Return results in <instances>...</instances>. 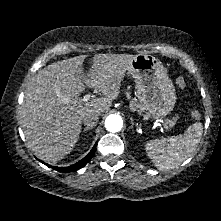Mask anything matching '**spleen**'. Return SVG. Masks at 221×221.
<instances>
[{
  "label": "spleen",
  "mask_w": 221,
  "mask_h": 221,
  "mask_svg": "<svg viewBox=\"0 0 221 221\" xmlns=\"http://www.w3.org/2000/svg\"><path fill=\"white\" fill-rule=\"evenodd\" d=\"M202 132L203 125L196 122L189 126L184 135L150 140L145 144L147 156L159 170H171L195 151Z\"/></svg>",
  "instance_id": "obj_1"
}]
</instances>
